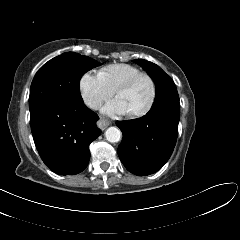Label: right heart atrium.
Listing matches in <instances>:
<instances>
[{"label": "right heart atrium", "mask_w": 240, "mask_h": 240, "mask_svg": "<svg viewBox=\"0 0 240 240\" xmlns=\"http://www.w3.org/2000/svg\"><path fill=\"white\" fill-rule=\"evenodd\" d=\"M81 96L91 109H97L103 102L114 94V91L100 78L99 75L85 73L79 81Z\"/></svg>", "instance_id": "d8ad5b80"}]
</instances>
